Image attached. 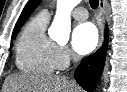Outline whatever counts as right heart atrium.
I'll use <instances>...</instances> for the list:
<instances>
[{
  "label": "right heart atrium",
  "mask_w": 127,
  "mask_h": 92,
  "mask_svg": "<svg viewBox=\"0 0 127 92\" xmlns=\"http://www.w3.org/2000/svg\"><path fill=\"white\" fill-rule=\"evenodd\" d=\"M55 59L57 68L65 69L76 59V57L67 46L57 45Z\"/></svg>",
  "instance_id": "right-heart-atrium-1"
}]
</instances>
